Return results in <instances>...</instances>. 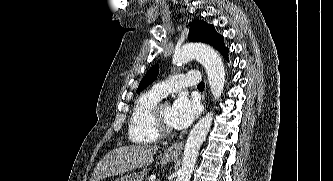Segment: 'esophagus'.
Masks as SVG:
<instances>
[{"label": "esophagus", "instance_id": "34e87169", "mask_svg": "<svg viewBox=\"0 0 333 181\" xmlns=\"http://www.w3.org/2000/svg\"><path fill=\"white\" fill-rule=\"evenodd\" d=\"M203 100L205 102V95L203 96ZM183 149V142L175 143L172 144L168 149H167V154L170 155H179Z\"/></svg>", "mask_w": 333, "mask_h": 181}]
</instances>
